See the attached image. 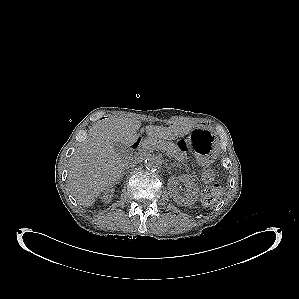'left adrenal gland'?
Listing matches in <instances>:
<instances>
[{"label": "left adrenal gland", "mask_w": 299, "mask_h": 299, "mask_svg": "<svg viewBox=\"0 0 299 299\" xmlns=\"http://www.w3.org/2000/svg\"><path fill=\"white\" fill-rule=\"evenodd\" d=\"M172 167H175V165H174V164H172ZM168 168H171V167H170V165H169V167H168Z\"/></svg>", "instance_id": "left-adrenal-gland-1"}]
</instances>
